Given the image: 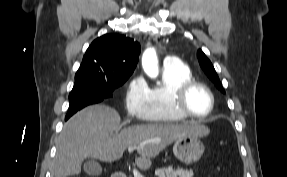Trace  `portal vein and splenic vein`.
I'll list each match as a JSON object with an SVG mask.
<instances>
[{
  "label": "portal vein and splenic vein",
  "instance_id": "portal-vein-and-splenic-vein-1",
  "mask_svg": "<svg viewBox=\"0 0 287 177\" xmlns=\"http://www.w3.org/2000/svg\"><path fill=\"white\" fill-rule=\"evenodd\" d=\"M137 148V146H130L128 148V152L131 153L133 152L135 149ZM133 176L134 177H143V175L137 170V169H133Z\"/></svg>",
  "mask_w": 287,
  "mask_h": 177
}]
</instances>
